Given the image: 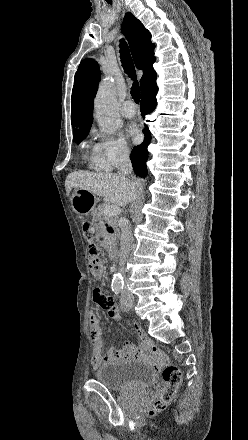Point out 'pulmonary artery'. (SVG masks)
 <instances>
[{
    "instance_id": "pulmonary-artery-1",
    "label": "pulmonary artery",
    "mask_w": 248,
    "mask_h": 440,
    "mask_svg": "<svg viewBox=\"0 0 248 440\" xmlns=\"http://www.w3.org/2000/svg\"><path fill=\"white\" fill-rule=\"evenodd\" d=\"M122 114L126 118H132L136 114V106L131 100L124 102L122 107Z\"/></svg>"
}]
</instances>
